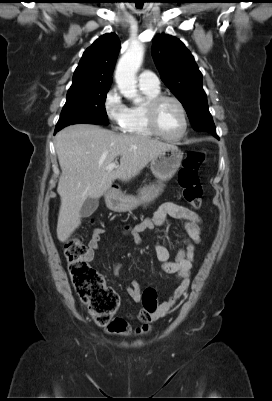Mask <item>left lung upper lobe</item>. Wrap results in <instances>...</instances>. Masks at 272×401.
I'll use <instances>...</instances> for the list:
<instances>
[{
  "label": "left lung upper lobe",
  "instance_id": "obj_1",
  "mask_svg": "<svg viewBox=\"0 0 272 401\" xmlns=\"http://www.w3.org/2000/svg\"><path fill=\"white\" fill-rule=\"evenodd\" d=\"M152 55L162 81L183 104L194 130L215 133L202 74L186 46L171 35H157Z\"/></svg>",
  "mask_w": 272,
  "mask_h": 401
}]
</instances>
